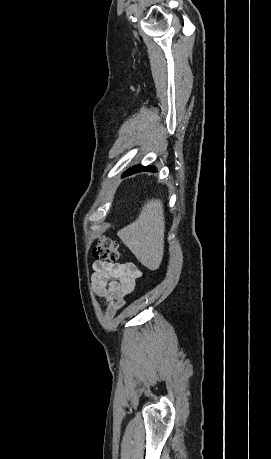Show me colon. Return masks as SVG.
Instances as JSON below:
<instances>
[{"mask_svg": "<svg viewBox=\"0 0 271 459\" xmlns=\"http://www.w3.org/2000/svg\"><path fill=\"white\" fill-rule=\"evenodd\" d=\"M92 254L102 261H115L119 257L118 244L112 239L100 237L93 247Z\"/></svg>", "mask_w": 271, "mask_h": 459, "instance_id": "1", "label": "colon"}]
</instances>
